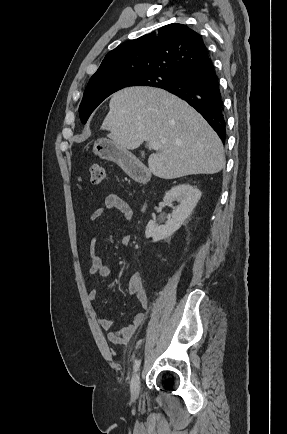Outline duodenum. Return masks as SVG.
Masks as SVG:
<instances>
[{
  "mask_svg": "<svg viewBox=\"0 0 287 434\" xmlns=\"http://www.w3.org/2000/svg\"><path fill=\"white\" fill-rule=\"evenodd\" d=\"M122 162L133 179L138 182H146L149 180L147 171L143 169V167L136 161L135 158L126 156Z\"/></svg>",
  "mask_w": 287,
  "mask_h": 434,
  "instance_id": "obj_1",
  "label": "duodenum"
}]
</instances>
